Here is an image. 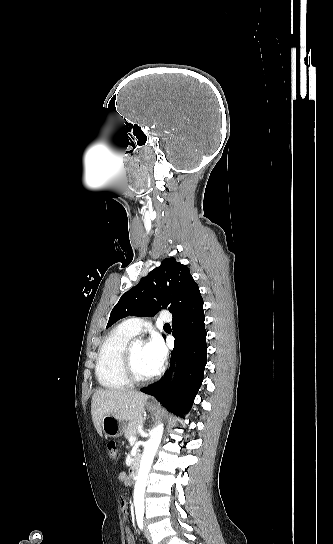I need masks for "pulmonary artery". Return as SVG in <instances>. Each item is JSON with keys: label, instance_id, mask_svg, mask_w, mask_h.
Masks as SVG:
<instances>
[{"label": "pulmonary artery", "instance_id": "pulmonary-artery-1", "mask_svg": "<svg viewBox=\"0 0 333 544\" xmlns=\"http://www.w3.org/2000/svg\"><path fill=\"white\" fill-rule=\"evenodd\" d=\"M160 319L165 322L171 321L172 317L169 312L163 311L160 314ZM148 322L140 317H134L125 320L121 325L123 328H125L128 332H130L133 335L138 334L146 325Z\"/></svg>", "mask_w": 333, "mask_h": 544}]
</instances>
